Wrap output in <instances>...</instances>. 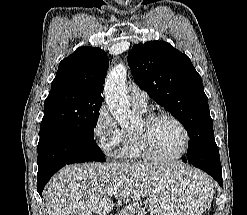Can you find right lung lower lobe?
Listing matches in <instances>:
<instances>
[{"label":"right lung lower lobe","instance_id":"right-lung-lower-lobe-1","mask_svg":"<svg viewBox=\"0 0 247 215\" xmlns=\"http://www.w3.org/2000/svg\"><path fill=\"white\" fill-rule=\"evenodd\" d=\"M105 160L94 140L71 131L48 132L38 143L37 191L42 196L52 175L67 164Z\"/></svg>","mask_w":247,"mask_h":215}]
</instances>
